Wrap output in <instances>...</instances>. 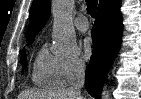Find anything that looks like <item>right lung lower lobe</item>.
Returning <instances> with one entry per match:
<instances>
[{"label": "right lung lower lobe", "mask_w": 141, "mask_h": 99, "mask_svg": "<svg viewBox=\"0 0 141 99\" xmlns=\"http://www.w3.org/2000/svg\"><path fill=\"white\" fill-rule=\"evenodd\" d=\"M120 0H106L98 6L92 28L93 53L85 73L88 92L99 98L105 77L119 51L122 35Z\"/></svg>", "instance_id": "right-lung-lower-lobe-1"}]
</instances>
